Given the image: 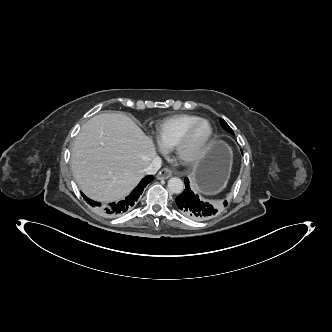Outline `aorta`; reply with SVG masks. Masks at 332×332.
I'll use <instances>...</instances> for the list:
<instances>
[{"mask_svg":"<svg viewBox=\"0 0 332 332\" xmlns=\"http://www.w3.org/2000/svg\"><path fill=\"white\" fill-rule=\"evenodd\" d=\"M168 188L174 194H180L184 190V183L178 177H172L168 180Z\"/></svg>","mask_w":332,"mask_h":332,"instance_id":"aorta-1","label":"aorta"}]
</instances>
